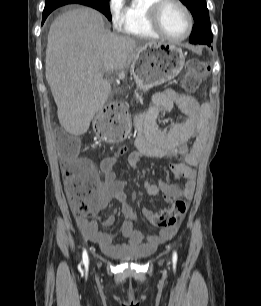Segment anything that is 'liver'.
I'll return each instance as SVG.
<instances>
[{"mask_svg": "<svg viewBox=\"0 0 261 306\" xmlns=\"http://www.w3.org/2000/svg\"><path fill=\"white\" fill-rule=\"evenodd\" d=\"M152 45L157 43L110 32L102 14L89 7L59 15L48 33L45 74L61 126L74 135L86 133L111 93L104 73L127 68Z\"/></svg>", "mask_w": 261, "mask_h": 306, "instance_id": "obj_1", "label": "liver"}]
</instances>
